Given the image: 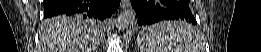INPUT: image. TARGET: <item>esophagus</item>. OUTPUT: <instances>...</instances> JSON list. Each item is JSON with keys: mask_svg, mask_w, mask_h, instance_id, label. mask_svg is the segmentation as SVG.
<instances>
[{"mask_svg": "<svg viewBox=\"0 0 261 52\" xmlns=\"http://www.w3.org/2000/svg\"><path fill=\"white\" fill-rule=\"evenodd\" d=\"M129 5H130V1L129 0H122L121 1V6H122V8H127V7H129Z\"/></svg>", "mask_w": 261, "mask_h": 52, "instance_id": "1", "label": "esophagus"}]
</instances>
